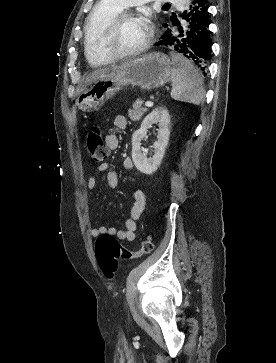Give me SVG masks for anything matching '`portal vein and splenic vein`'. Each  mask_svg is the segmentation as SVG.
<instances>
[{"instance_id":"18ae733b","label":"portal vein and splenic vein","mask_w":276,"mask_h":363,"mask_svg":"<svg viewBox=\"0 0 276 363\" xmlns=\"http://www.w3.org/2000/svg\"><path fill=\"white\" fill-rule=\"evenodd\" d=\"M145 106H147V107H151V106H153V102H151V101H147V102L145 103Z\"/></svg>"}]
</instances>
